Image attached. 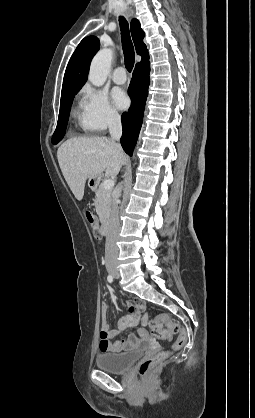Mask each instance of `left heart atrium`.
<instances>
[{"instance_id": "1", "label": "left heart atrium", "mask_w": 255, "mask_h": 418, "mask_svg": "<svg viewBox=\"0 0 255 418\" xmlns=\"http://www.w3.org/2000/svg\"><path fill=\"white\" fill-rule=\"evenodd\" d=\"M112 98L115 105L120 109H125L129 104V99L126 93L121 89H114L112 92Z\"/></svg>"}]
</instances>
